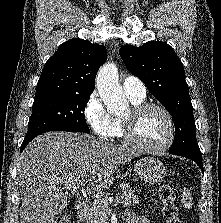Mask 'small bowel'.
I'll list each match as a JSON object with an SVG mask.
<instances>
[{
    "mask_svg": "<svg viewBox=\"0 0 221 223\" xmlns=\"http://www.w3.org/2000/svg\"><path fill=\"white\" fill-rule=\"evenodd\" d=\"M125 223H150V221L144 216H137L132 212H128L125 215Z\"/></svg>",
    "mask_w": 221,
    "mask_h": 223,
    "instance_id": "1",
    "label": "small bowel"
}]
</instances>
